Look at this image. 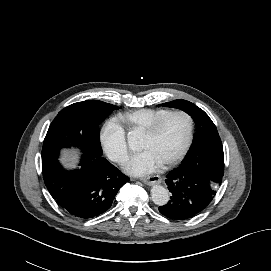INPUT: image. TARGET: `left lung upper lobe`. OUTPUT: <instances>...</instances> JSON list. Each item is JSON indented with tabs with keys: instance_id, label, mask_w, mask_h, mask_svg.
I'll return each mask as SVG.
<instances>
[{
	"instance_id": "left-lung-upper-lobe-1",
	"label": "left lung upper lobe",
	"mask_w": 271,
	"mask_h": 271,
	"mask_svg": "<svg viewBox=\"0 0 271 271\" xmlns=\"http://www.w3.org/2000/svg\"><path fill=\"white\" fill-rule=\"evenodd\" d=\"M162 106L185 111L193 118L196 125L195 143L180 168L223 177V146L217 129L209 116L195 104L183 99L166 102Z\"/></svg>"
}]
</instances>
